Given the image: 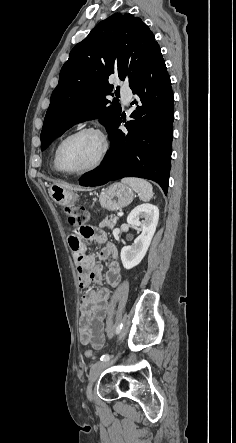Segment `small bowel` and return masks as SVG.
Listing matches in <instances>:
<instances>
[{"mask_svg":"<svg viewBox=\"0 0 236 443\" xmlns=\"http://www.w3.org/2000/svg\"><path fill=\"white\" fill-rule=\"evenodd\" d=\"M91 230L93 234L90 239L102 247L99 258L110 260L104 280L111 287H117L121 282V267L117 261L118 250L114 244L107 241L106 233L102 229L92 227ZM83 240L86 239L79 233H72L68 238L69 246L74 253L79 286L86 288L91 282L101 281L102 268L96 264L93 253H85ZM110 294L108 288H102L97 291H87L83 295L79 321V335L83 345L92 344L101 347L104 341V319L107 315Z\"/></svg>","mask_w":236,"mask_h":443,"instance_id":"1","label":"small bowel"}]
</instances>
